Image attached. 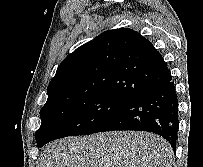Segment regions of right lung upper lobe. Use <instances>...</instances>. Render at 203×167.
<instances>
[{"mask_svg": "<svg viewBox=\"0 0 203 167\" xmlns=\"http://www.w3.org/2000/svg\"><path fill=\"white\" fill-rule=\"evenodd\" d=\"M169 76L166 63L149 40L129 28L108 30L61 62L41 110L95 94L132 101Z\"/></svg>", "mask_w": 203, "mask_h": 167, "instance_id": "1", "label": "right lung upper lobe"}]
</instances>
